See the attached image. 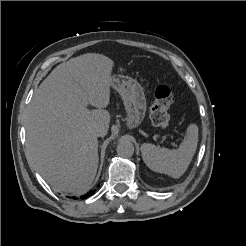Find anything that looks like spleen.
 I'll list each match as a JSON object with an SVG mask.
<instances>
[{"mask_svg":"<svg viewBox=\"0 0 246 246\" xmlns=\"http://www.w3.org/2000/svg\"><path fill=\"white\" fill-rule=\"evenodd\" d=\"M198 144V126L190 124L178 149H167L144 143L141 153L144 163L152 171L179 178L187 170Z\"/></svg>","mask_w":246,"mask_h":246,"instance_id":"spleen-1","label":"spleen"}]
</instances>
